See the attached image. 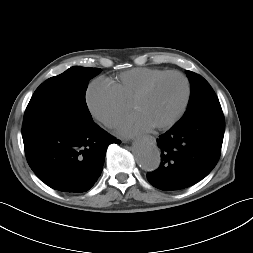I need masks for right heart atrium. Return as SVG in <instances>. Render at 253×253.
Wrapping results in <instances>:
<instances>
[{
	"label": "right heart atrium",
	"mask_w": 253,
	"mask_h": 253,
	"mask_svg": "<svg viewBox=\"0 0 253 253\" xmlns=\"http://www.w3.org/2000/svg\"><path fill=\"white\" fill-rule=\"evenodd\" d=\"M85 101L91 115L105 126H112L128 108L114 85L104 78L89 84Z\"/></svg>",
	"instance_id": "right-heart-atrium-1"
}]
</instances>
